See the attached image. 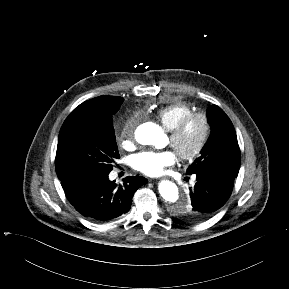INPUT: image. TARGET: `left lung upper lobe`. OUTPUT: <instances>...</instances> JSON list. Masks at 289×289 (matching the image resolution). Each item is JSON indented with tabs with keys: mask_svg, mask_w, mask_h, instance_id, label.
<instances>
[{
	"mask_svg": "<svg viewBox=\"0 0 289 289\" xmlns=\"http://www.w3.org/2000/svg\"><path fill=\"white\" fill-rule=\"evenodd\" d=\"M207 117L212 128L210 137L201 150V155L189 166L186 173L191 175L216 170L237 177L241 156L233 124L217 105L207 109ZM172 211L177 216L189 218V213H185L186 209L183 207Z\"/></svg>",
	"mask_w": 289,
	"mask_h": 289,
	"instance_id": "left-lung-upper-lobe-1",
	"label": "left lung upper lobe"
}]
</instances>
